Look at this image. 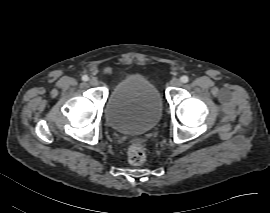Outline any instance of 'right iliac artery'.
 I'll list each match as a JSON object with an SVG mask.
<instances>
[{"label":"right iliac artery","mask_w":270,"mask_h":213,"mask_svg":"<svg viewBox=\"0 0 270 213\" xmlns=\"http://www.w3.org/2000/svg\"><path fill=\"white\" fill-rule=\"evenodd\" d=\"M82 80H83V81H88V80H89V77H88L87 75H83V76H82Z\"/></svg>","instance_id":"1"}]
</instances>
